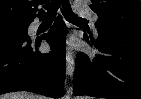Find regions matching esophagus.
Wrapping results in <instances>:
<instances>
[{"label":"esophagus","mask_w":141,"mask_h":99,"mask_svg":"<svg viewBox=\"0 0 141 99\" xmlns=\"http://www.w3.org/2000/svg\"><path fill=\"white\" fill-rule=\"evenodd\" d=\"M75 68V60H74V54L72 51H68L66 55V74L69 77L73 76Z\"/></svg>","instance_id":"34e87169"}]
</instances>
